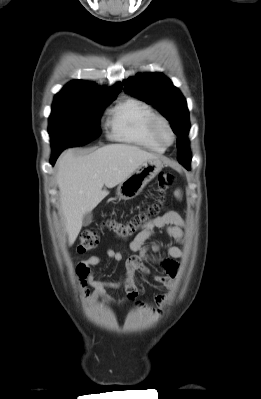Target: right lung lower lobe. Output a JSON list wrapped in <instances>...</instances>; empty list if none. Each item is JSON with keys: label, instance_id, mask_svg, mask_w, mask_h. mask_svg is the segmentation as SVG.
Masks as SVG:
<instances>
[{"label": "right lung lower lobe", "instance_id": "1", "mask_svg": "<svg viewBox=\"0 0 261 399\" xmlns=\"http://www.w3.org/2000/svg\"><path fill=\"white\" fill-rule=\"evenodd\" d=\"M62 151H63L62 149H60V150H53V151H52V157H51V160H50V163H51L52 165L55 164V162H56L58 156L60 155V153H61Z\"/></svg>", "mask_w": 261, "mask_h": 399}]
</instances>
